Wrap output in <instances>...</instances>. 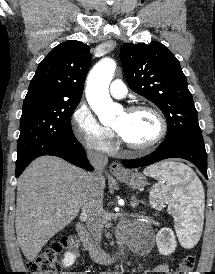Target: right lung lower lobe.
Listing matches in <instances>:
<instances>
[{
  "instance_id": "98d812e1",
  "label": "right lung lower lobe",
  "mask_w": 215,
  "mask_h": 274,
  "mask_svg": "<svg viewBox=\"0 0 215 274\" xmlns=\"http://www.w3.org/2000/svg\"><path fill=\"white\" fill-rule=\"evenodd\" d=\"M43 155L57 156L78 167L84 168L89 171L93 170V167L90 165L89 161L85 157V151L82 145L78 141H75L45 149L39 152L36 156L31 158L27 162L16 166V177H19V175L24 171V169L30 164L32 160Z\"/></svg>"
}]
</instances>
